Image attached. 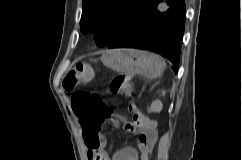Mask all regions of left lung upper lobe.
I'll return each instance as SVG.
<instances>
[{
  "label": "left lung upper lobe",
  "instance_id": "obj_1",
  "mask_svg": "<svg viewBox=\"0 0 242 160\" xmlns=\"http://www.w3.org/2000/svg\"><path fill=\"white\" fill-rule=\"evenodd\" d=\"M150 0H83L81 30L96 32L98 46H108L139 17Z\"/></svg>",
  "mask_w": 242,
  "mask_h": 160
}]
</instances>
